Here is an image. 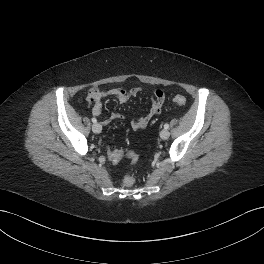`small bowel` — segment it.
<instances>
[{"mask_svg":"<svg viewBox=\"0 0 264 264\" xmlns=\"http://www.w3.org/2000/svg\"><path fill=\"white\" fill-rule=\"evenodd\" d=\"M143 92L141 87H133L130 90H125L121 88H112L105 93L99 94L93 101L94 104L91 107V113L94 116H100L102 113V98L106 96H111L116 98L121 104L128 102L132 97ZM165 102L164 92L160 89H157L153 92L152 105L148 113L142 117L134 118L131 121V126L135 130L142 129L147 126L151 118L155 115H158L162 112L163 105ZM124 116L119 113H112L108 118L103 121L104 125H108L114 120L123 119ZM120 150L111 151L108 154L109 160L113 163L119 162L122 158H114L112 154H119Z\"/></svg>","mask_w":264,"mask_h":264,"instance_id":"c3829d8e","label":"small bowel"}]
</instances>
